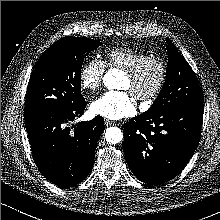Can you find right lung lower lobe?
<instances>
[{"label":"right lung lower lobe","mask_w":220,"mask_h":220,"mask_svg":"<svg viewBox=\"0 0 220 220\" xmlns=\"http://www.w3.org/2000/svg\"><path fill=\"white\" fill-rule=\"evenodd\" d=\"M85 107L86 101L73 109L25 111L33 159L41 174L60 188L73 187L88 176L97 142L105 129L101 116L70 127Z\"/></svg>","instance_id":"1"}]
</instances>
